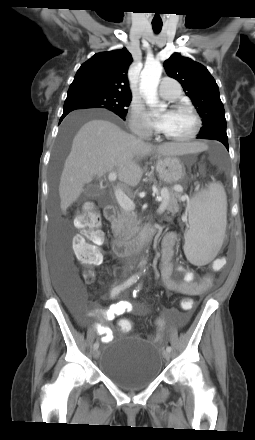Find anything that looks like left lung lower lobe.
I'll list each match as a JSON object with an SVG mask.
<instances>
[{
  "label": "left lung lower lobe",
  "mask_w": 255,
  "mask_h": 440,
  "mask_svg": "<svg viewBox=\"0 0 255 440\" xmlns=\"http://www.w3.org/2000/svg\"><path fill=\"white\" fill-rule=\"evenodd\" d=\"M214 140H218V141L222 142L225 145V147L229 150L228 140H221V139H214Z\"/></svg>",
  "instance_id": "obj_1"
}]
</instances>
